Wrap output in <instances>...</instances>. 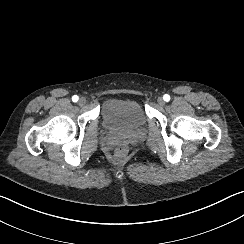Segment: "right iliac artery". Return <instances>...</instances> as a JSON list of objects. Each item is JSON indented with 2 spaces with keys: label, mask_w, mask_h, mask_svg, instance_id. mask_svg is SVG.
<instances>
[{
  "label": "right iliac artery",
  "mask_w": 244,
  "mask_h": 244,
  "mask_svg": "<svg viewBox=\"0 0 244 244\" xmlns=\"http://www.w3.org/2000/svg\"><path fill=\"white\" fill-rule=\"evenodd\" d=\"M78 99H79V98H78V96H77V95H74V96L72 97V101H73V102H77V101H78Z\"/></svg>",
  "instance_id": "1"
}]
</instances>
